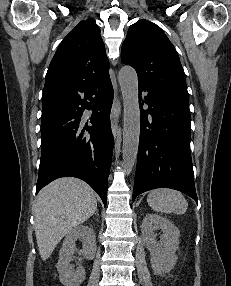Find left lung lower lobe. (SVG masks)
Segmentation results:
<instances>
[{
  "instance_id": "0a47b994",
  "label": "left lung lower lobe",
  "mask_w": 231,
  "mask_h": 286,
  "mask_svg": "<svg viewBox=\"0 0 231 286\" xmlns=\"http://www.w3.org/2000/svg\"><path fill=\"white\" fill-rule=\"evenodd\" d=\"M141 127L133 201L155 188L179 190L198 202L190 154L189 96L139 83ZM148 104V110L143 105Z\"/></svg>"
}]
</instances>
